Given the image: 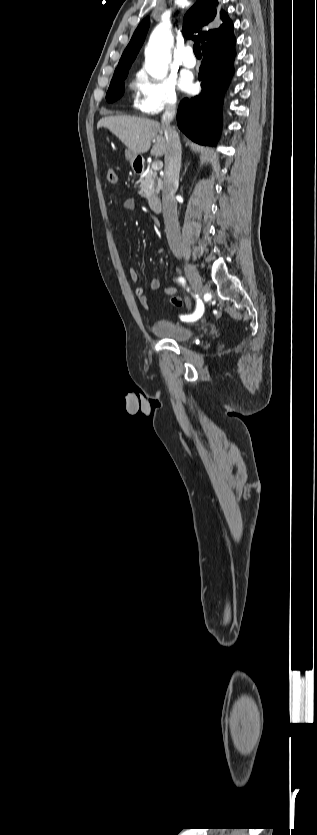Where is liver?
<instances>
[{
    "instance_id": "obj_1",
    "label": "liver",
    "mask_w": 317,
    "mask_h": 835,
    "mask_svg": "<svg viewBox=\"0 0 317 835\" xmlns=\"http://www.w3.org/2000/svg\"><path fill=\"white\" fill-rule=\"evenodd\" d=\"M104 127L114 134L133 154L148 152L152 140H156L151 155L163 156L166 150L164 129L157 121L131 116H106L97 123V129Z\"/></svg>"
}]
</instances>
